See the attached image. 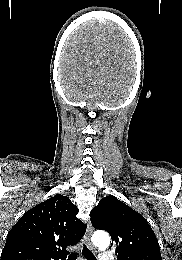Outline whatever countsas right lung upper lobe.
I'll use <instances>...</instances> for the list:
<instances>
[{"label":"right lung upper lobe","mask_w":182,"mask_h":260,"mask_svg":"<svg viewBox=\"0 0 182 260\" xmlns=\"http://www.w3.org/2000/svg\"><path fill=\"white\" fill-rule=\"evenodd\" d=\"M77 213L61 194L36 205L8 233L1 260H65L66 247L77 244L86 230Z\"/></svg>","instance_id":"right-lung-upper-lobe-1"}]
</instances>
